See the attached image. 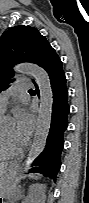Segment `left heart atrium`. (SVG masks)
Segmentation results:
<instances>
[{"label":"left heart atrium","instance_id":"obj_1","mask_svg":"<svg viewBox=\"0 0 89 203\" xmlns=\"http://www.w3.org/2000/svg\"><path fill=\"white\" fill-rule=\"evenodd\" d=\"M16 134L26 142L34 128V118L24 109H20L15 114Z\"/></svg>","mask_w":89,"mask_h":203}]
</instances>
